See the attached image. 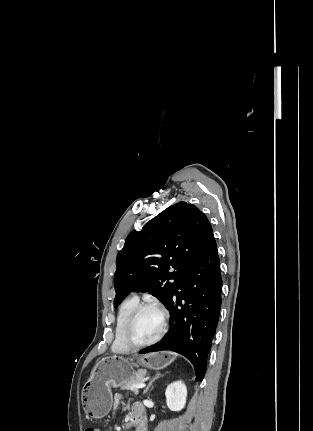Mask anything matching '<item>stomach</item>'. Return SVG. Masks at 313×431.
Instances as JSON below:
<instances>
[{"label":"stomach","mask_w":313,"mask_h":431,"mask_svg":"<svg viewBox=\"0 0 313 431\" xmlns=\"http://www.w3.org/2000/svg\"><path fill=\"white\" fill-rule=\"evenodd\" d=\"M176 356L172 353H149L136 357V360L120 356L102 358L94 367L90 378L82 389V404L90 418L106 416L112 407V387L134 378L139 366L160 370L170 365Z\"/></svg>","instance_id":"0dacf381"}]
</instances>
